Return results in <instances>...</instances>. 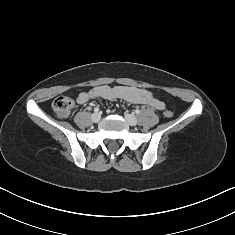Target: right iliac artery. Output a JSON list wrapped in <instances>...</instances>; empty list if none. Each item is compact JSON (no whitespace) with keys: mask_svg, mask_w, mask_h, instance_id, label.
I'll list each match as a JSON object with an SVG mask.
<instances>
[{"mask_svg":"<svg viewBox=\"0 0 235 235\" xmlns=\"http://www.w3.org/2000/svg\"><path fill=\"white\" fill-rule=\"evenodd\" d=\"M94 111H95V112H98V111H99V108H98V107H96V108L94 109Z\"/></svg>","mask_w":235,"mask_h":235,"instance_id":"obj_1","label":"right iliac artery"}]
</instances>
